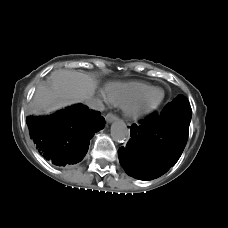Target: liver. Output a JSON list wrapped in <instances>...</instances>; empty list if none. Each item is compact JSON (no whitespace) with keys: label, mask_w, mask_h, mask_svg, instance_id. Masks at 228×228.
Instances as JSON below:
<instances>
[{"label":"liver","mask_w":228,"mask_h":228,"mask_svg":"<svg viewBox=\"0 0 228 228\" xmlns=\"http://www.w3.org/2000/svg\"><path fill=\"white\" fill-rule=\"evenodd\" d=\"M96 86V81L87 74L75 70H55L51 73L50 81L37 88L31 110L34 113L50 112L84 102L93 97Z\"/></svg>","instance_id":"obj_1"}]
</instances>
